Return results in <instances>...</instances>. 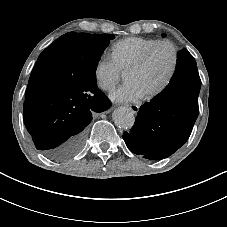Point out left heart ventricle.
<instances>
[{"mask_svg": "<svg viewBox=\"0 0 227 227\" xmlns=\"http://www.w3.org/2000/svg\"><path fill=\"white\" fill-rule=\"evenodd\" d=\"M172 62V52L166 45H159L152 53L146 66L126 75L127 83L135 84L145 95L154 91L167 76Z\"/></svg>", "mask_w": 227, "mask_h": 227, "instance_id": "obj_1", "label": "left heart ventricle"}]
</instances>
